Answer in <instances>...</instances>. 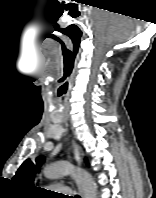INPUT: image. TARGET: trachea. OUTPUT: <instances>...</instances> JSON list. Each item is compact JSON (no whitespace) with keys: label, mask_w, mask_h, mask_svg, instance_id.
Returning a JSON list of instances; mask_svg holds the SVG:
<instances>
[{"label":"trachea","mask_w":156,"mask_h":198,"mask_svg":"<svg viewBox=\"0 0 156 198\" xmlns=\"http://www.w3.org/2000/svg\"><path fill=\"white\" fill-rule=\"evenodd\" d=\"M74 198H80V196L76 195Z\"/></svg>","instance_id":"obj_1"}]
</instances>
